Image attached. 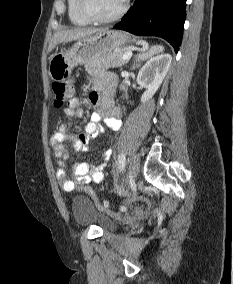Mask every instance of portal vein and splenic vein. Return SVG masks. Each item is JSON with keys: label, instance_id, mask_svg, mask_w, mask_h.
Here are the masks:
<instances>
[{"label": "portal vein and splenic vein", "instance_id": "18ae733b", "mask_svg": "<svg viewBox=\"0 0 233 284\" xmlns=\"http://www.w3.org/2000/svg\"><path fill=\"white\" fill-rule=\"evenodd\" d=\"M132 57V51H127L123 56L122 60H129Z\"/></svg>", "mask_w": 233, "mask_h": 284}]
</instances>
